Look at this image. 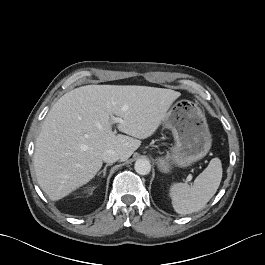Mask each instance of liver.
<instances>
[{
    "mask_svg": "<svg viewBox=\"0 0 265 265\" xmlns=\"http://www.w3.org/2000/svg\"><path fill=\"white\" fill-rule=\"evenodd\" d=\"M180 93L136 85H86L65 93L50 109L33 157L40 188L52 201L92 180L102 154L115 150L126 161L154 134ZM121 118L115 134L113 118Z\"/></svg>",
    "mask_w": 265,
    "mask_h": 265,
    "instance_id": "obj_1",
    "label": "liver"
}]
</instances>
